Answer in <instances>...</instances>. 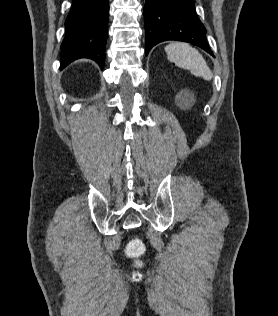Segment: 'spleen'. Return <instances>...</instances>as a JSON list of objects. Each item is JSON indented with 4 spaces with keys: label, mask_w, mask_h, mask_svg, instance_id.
Here are the masks:
<instances>
[{
    "label": "spleen",
    "mask_w": 278,
    "mask_h": 316,
    "mask_svg": "<svg viewBox=\"0 0 278 316\" xmlns=\"http://www.w3.org/2000/svg\"><path fill=\"white\" fill-rule=\"evenodd\" d=\"M167 58L177 66L188 69L193 75L211 80L213 74L197 49L187 43L174 42L165 47Z\"/></svg>",
    "instance_id": "1"
}]
</instances>
